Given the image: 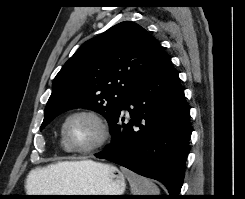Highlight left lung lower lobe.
<instances>
[{
	"label": "left lung lower lobe",
	"instance_id": "0a47b994",
	"mask_svg": "<svg viewBox=\"0 0 245 199\" xmlns=\"http://www.w3.org/2000/svg\"><path fill=\"white\" fill-rule=\"evenodd\" d=\"M126 110L129 122L124 118ZM109 125L112 143L95 156L162 182L169 199H178L192 129L190 108L167 53L163 51Z\"/></svg>",
	"mask_w": 245,
	"mask_h": 199
}]
</instances>
